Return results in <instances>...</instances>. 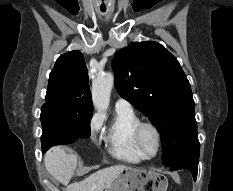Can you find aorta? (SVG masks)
<instances>
[{
    "instance_id": "1",
    "label": "aorta",
    "mask_w": 233,
    "mask_h": 191,
    "mask_svg": "<svg viewBox=\"0 0 233 191\" xmlns=\"http://www.w3.org/2000/svg\"><path fill=\"white\" fill-rule=\"evenodd\" d=\"M114 84L111 73L99 75L92 82V101L98 111L107 110L110 102V94Z\"/></svg>"
}]
</instances>
